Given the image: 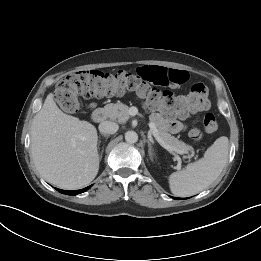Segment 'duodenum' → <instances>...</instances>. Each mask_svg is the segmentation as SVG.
<instances>
[{
    "instance_id": "duodenum-1",
    "label": "duodenum",
    "mask_w": 261,
    "mask_h": 261,
    "mask_svg": "<svg viewBox=\"0 0 261 261\" xmlns=\"http://www.w3.org/2000/svg\"><path fill=\"white\" fill-rule=\"evenodd\" d=\"M106 118L105 110L102 108H97L92 112V119L96 123L103 122Z\"/></svg>"
}]
</instances>
